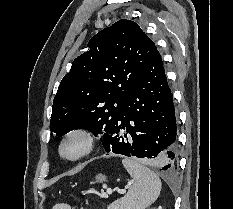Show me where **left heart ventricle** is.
Wrapping results in <instances>:
<instances>
[{
    "label": "left heart ventricle",
    "instance_id": "left-heart-ventricle-1",
    "mask_svg": "<svg viewBox=\"0 0 233 209\" xmlns=\"http://www.w3.org/2000/svg\"><path fill=\"white\" fill-rule=\"evenodd\" d=\"M80 148V142L78 140H71L66 146V152L69 154H73L77 152Z\"/></svg>",
    "mask_w": 233,
    "mask_h": 209
}]
</instances>
